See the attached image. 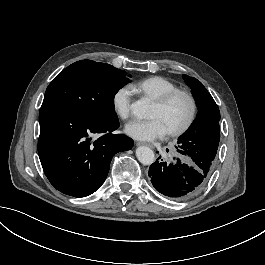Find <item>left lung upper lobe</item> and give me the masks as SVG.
<instances>
[{
    "instance_id": "1",
    "label": "left lung upper lobe",
    "mask_w": 265,
    "mask_h": 265,
    "mask_svg": "<svg viewBox=\"0 0 265 265\" xmlns=\"http://www.w3.org/2000/svg\"><path fill=\"white\" fill-rule=\"evenodd\" d=\"M198 106L196 119L178 139L179 153L213 168L220 140V112L214 99L197 79L183 75Z\"/></svg>"
}]
</instances>
